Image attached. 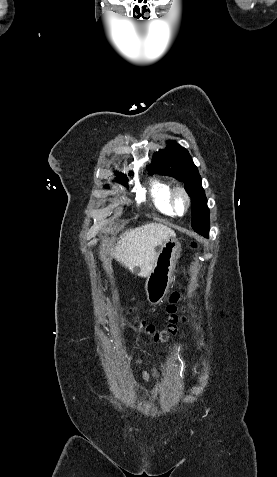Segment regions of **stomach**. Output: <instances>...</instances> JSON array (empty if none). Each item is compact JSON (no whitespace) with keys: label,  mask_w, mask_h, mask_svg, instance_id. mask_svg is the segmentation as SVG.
<instances>
[{"label":"stomach","mask_w":277,"mask_h":477,"mask_svg":"<svg viewBox=\"0 0 277 477\" xmlns=\"http://www.w3.org/2000/svg\"><path fill=\"white\" fill-rule=\"evenodd\" d=\"M180 250L181 244L175 236L169 237L160 246L156 262L144 286L147 301L151 305L161 303L167 295Z\"/></svg>","instance_id":"0dacf381"}]
</instances>
